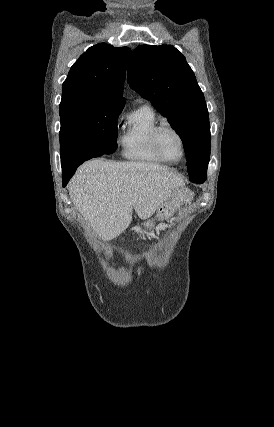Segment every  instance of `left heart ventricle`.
Here are the masks:
<instances>
[{"label":"left heart ventricle","mask_w":274,"mask_h":427,"mask_svg":"<svg viewBox=\"0 0 274 427\" xmlns=\"http://www.w3.org/2000/svg\"><path fill=\"white\" fill-rule=\"evenodd\" d=\"M160 146L165 156L172 161H179L182 156V145L178 136L166 130L160 135Z\"/></svg>","instance_id":"left-heart-ventricle-1"}]
</instances>
